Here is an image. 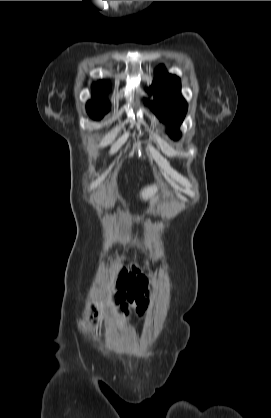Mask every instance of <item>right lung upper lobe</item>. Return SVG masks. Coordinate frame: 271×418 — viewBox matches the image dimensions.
Segmentation results:
<instances>
[{"instance_id": "1", "label": "right lung upper lobe", "mask_w": 271, "mask_h": 418, "mask_svg": "<svg viewBox=\"0 0 271 418\" xmlns=\"http://www.w3.org/2000/svg\"><path fill=\"white\" fill-rule=\"evenodd\" d=\"M106 84L101 81L99 85L93 86L94 101L87 103V111L89 114L103 116L109 110V102L104 97Z\"/></svg>"}]
</instances>
